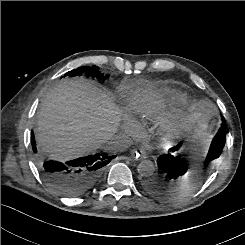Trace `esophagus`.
I'll return each instance as SVG.
<instances>
[{"label":"esophagus","instance_id":"34e87169","mask_svg":"<svg viewBox=\"0 0 245 245\" xmlns=\"http://www.w3.org/2000/svg\"><path fill=\"white\" fill-rule=\"evenodd\" d=\"M130 152L132 154V157L136 160H143L147 158L146 151L142 148L139 150L133 149Z\"/></svg>","mask_w":245,"mask_h":245}]
</instances>
